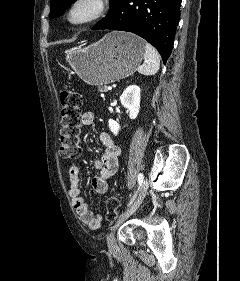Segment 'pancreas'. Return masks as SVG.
<instances>
[{
    "instance_id": "cf45deb5",
    "label": "pancreas",
    "mask_w": 240,
    "mask_h": 281,
    "mask_svg": "<svg viewBox=\"0 0 240 281\" xmlns=\"http://www.w3.org/2000/svg\"><path fill=\"white\" fill-rule=\"evenodd\" d=\"M98 91H99V92H107V91H108V90H107V86L99 87V88H98Z\"/></svg>"
}]
</instances>
